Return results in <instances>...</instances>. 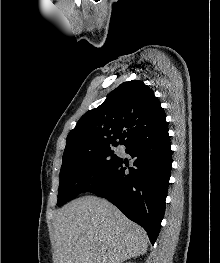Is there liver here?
Wrapping results in <instances>:
<instances>
[{
	"instance_id": "1",
	"label": "liver",
	"mask_w": 220,
	"mask_h": 263,
	"mask_svg": "<svg viewBox=\"0 0 220 263\" xmlns=\"http://www.w3.org/2000/svg\"><path fill=\"white\" fill-rule=\"evenodd\" d=\"M57 263H122L146 253L148 236L110 202L85 196L54 216Z\"/></svg>"
}]
</instances>
